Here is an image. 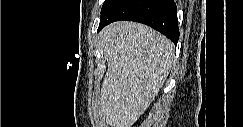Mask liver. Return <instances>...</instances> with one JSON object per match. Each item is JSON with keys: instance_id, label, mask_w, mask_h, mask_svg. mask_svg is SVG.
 <instances>
[{"instance_id": "liver-1", "label": "liver", "mask_w": 243, "mask_h": 127, "mask_svg": "<svg viewBox=\"0 0 243 127\" xmlns=\"http://www.w3.org/2000/svg\"><path fill=\"white\" fill-rule=\"evenodd\" d=\"M108 69L100 92L101 114L111 127H131L150 106L174 63V45L140 23L120 21L104 28Z\"/></svg>"}]
</instances>
